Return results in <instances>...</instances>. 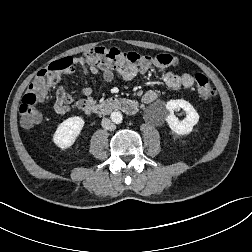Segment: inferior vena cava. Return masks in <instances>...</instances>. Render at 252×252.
<instances>
[{"label":"inferior vena cava","mask_w":252,"mask_h":252,"mask_svg":"<svg viewBox=\"0 0 252 252\" xmlns=\"http://www.w3.org/2000/svg\"><path fill=\"white\" fill-rule=\"evenodd\" d=\"M101 125L104 129L113 131L116 129V125L108 118H103Z\"/></svg>","instance_id":"obj_1"}]
</instances>
